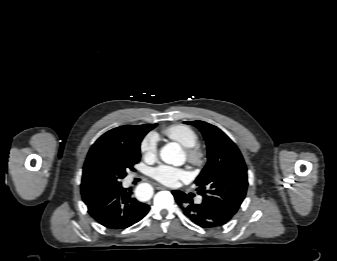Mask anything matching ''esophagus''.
<instances>
[{
    "label": "esophagus",
    "mask_w": 337,
    "mask_h": 261,
    "mask_svg": "<svg viewBox=\"0 0 337 261\" xmlns=\"http://www.w3.org/2000/svg\"><path fill=\"white\" fill-rule=\"evenodd\" d=\"M155 187H156L157 189H159V190H164V189H166V187H164V186H162V185H160V184H155Z\"/></svg>",
    "instance_id": "esophagus-1"
}]
</instances>
